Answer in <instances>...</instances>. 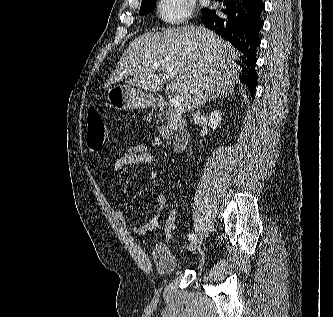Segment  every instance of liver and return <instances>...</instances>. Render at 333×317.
Returning a JSON list of instances; mask_svg holds the SVG:
<instances>
[{"instance_id": "1", "label": "liver", "mask_w": 333, "mask_h": 317, "mask_svg": "<svg viewBox=\"0 0 333 317\" xmlns=\"http://www.w3.org/2000/svg\"><path fill=\"white\" fill-rule=\"evenodd\" d=\"M239 52L204 27L183 26L135 38L122 54L109 83H127L150 92L169 88L193 111L217 94L232 91Z\"/></svg>"}]
</instances>
